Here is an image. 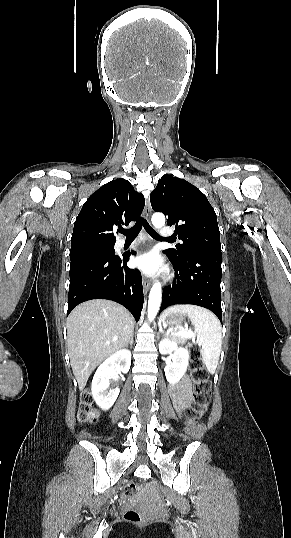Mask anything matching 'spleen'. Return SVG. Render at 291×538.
I'll use <instances>...</instances> for the list:
<instances>
[{"label":"spleen","mask_w":291,"mask_h":538,"mask_svg":"<svg viewBox=\"0 0 291 538\" xmlns=\"http://www.w3.org/2000/svg\"><path fill=\"white\" fill-rule=\"evenodd\" d=\"M174 313L186 314L197 336L202 343L201 355L209 373L216 370L222 347L221 324L216 316L209 310L194 305H174L167 308L161 315L163 320L167 315Z\"/></svg>","instance_id":"obj_1"}]
</instances>
